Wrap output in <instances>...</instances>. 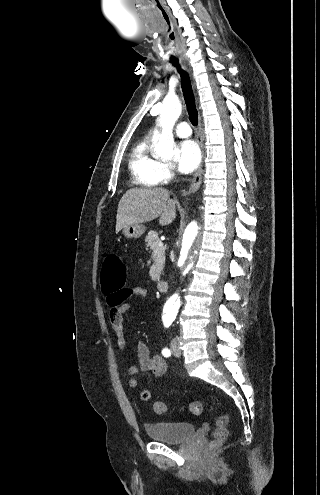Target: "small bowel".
Segmentation results:
<instances>
[{
	"instance_id": "small-bowel-1",
	"label": "small bowel",
	"mask_w": 320,
	"mask_h": 495,
	"mask_svg": "<svg viewBox=\"0 0 320 495\" xmlns=\"http://www.w3.org/2000/svg\"><path fill=\"white\" fill-rule=\"evenodd\" d=\"M125 294V299L118 302L119 295ZM147 289L138 285L124 286L121 291H114L106 294V302L109 307V317L113 330L117 336V345L121 351L125 347V337L123 330L124 314L131 309V303L127 300L131 297L145 298ZM136 358L138 365L128 368V375L134 376L138 372H149L154 377H161L167 371L166 360L160 355H151L148 345L143 341H138L136 344ZM129 386L136 388L138 381L135 378L129 380ZM141 397V391L139 393Z\"/></svg>"
}]
</instances>
